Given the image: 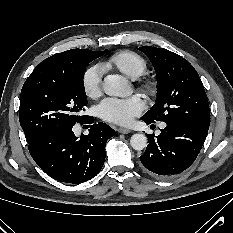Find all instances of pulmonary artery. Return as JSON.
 <instances>
[{"label": "pulmonary artery", "instance_id": "1", "mask_svg": "<svg viewBox=\"0 0 233 233\" xmlns=\"http://www.w3.org/2000/svg\"><path fill=\"white\" fill-rule=\"evenodd\" d=\"M165 126H166V125H165L164 123H163V124H161V127H162V128H164Z\"/></svg>", "mask_w": 233, "mask_h": 233}]
</instances>
